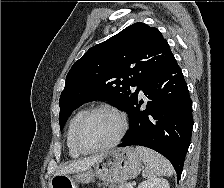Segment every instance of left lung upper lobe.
<instances>
[{"label": "left lung upper lobe", "mask_w": 224, "mask_h": 188, "mask_svg": "<svg viewBox=\"0 0 224 188\" xmlns=\"http://www.w3.org/2000/svg\"><path fill=\"white\" fill-rule=\"evenodd\" d=\"M173 58L161 32L141 22L90 48L67 74L60 129L76 108L93 100H108L130 116L141 86Z\"/></svg>", "instance_id": "left-lung-upper-lobe-1"}]
</instances>
